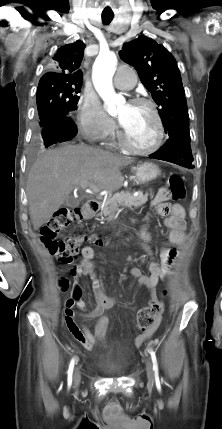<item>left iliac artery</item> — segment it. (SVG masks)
Returning a JSON list of instances; mask_svg holds the SVG:
<instances>
[{
  "mask_svg": "<svg viewBox=\"0 0 222 429\" xmlns=\"http://www.w3.org/2000/svg\"><path fill=\"white\" fill-rule=\"evenodd\" d=\"M149 353L151 355V359H152V362H153V370L155 372V379H156V381H159L158 364H157L156 354H155V352H154L153 349H150Z\"/></svg>",
  "mask_w": 222,
  "mask_h": 429,
  "instance_id": "left-iliac-artery-1",
  "label": "left iliac artery"
}]
</instances>
